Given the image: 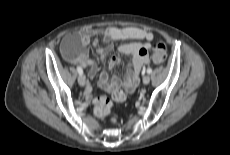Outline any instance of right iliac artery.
Here are the masks:
<instances>
[{
    "label": "right iliac artery",
    "instance_id": "1",
    "mask_svg": "<svg viewBox=\"0 0 230 155\" xmlns=\"http://www.w3.org/2000/svg\"><path fill=\"white\" fill-rule=\"evenodd\" d=\"M77 71H78L79 75L83 74V70L80 66H77Z\"/></svg>",
    "mask_w": 230,
    "mask_h": 155
}]
</instances>
